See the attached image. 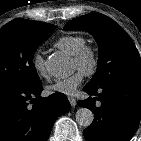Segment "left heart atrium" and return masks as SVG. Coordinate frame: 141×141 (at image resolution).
I'll use <instances>...</instances> for the list:
<instances>
[{
  "instance_id": "left-heart-atrium-1",
  "label": "left heart atrium",
  "mask_w": 141,
  "mask_h": 141,
  "mask_svg": "<svg viewBox=\"0 0 141 141\" xmlns=\"http://www.w3.org/2000/svg\"><path fill=\"white\" fill-rule=\"evenodd\" d=\"M83 80V74L80 71L71 76L57 80L49 87L50 93H60L64 95H73Z\"/></svg>"
}]
</instances>
